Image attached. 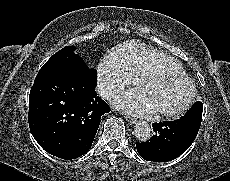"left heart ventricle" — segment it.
Here are the masks:
<instances>
[{"instance_id": "1", "label": "left heart ventricle", "mask_w": 230, "mask_h": 181, "mask_svg": "<svg viewBox=\"0 0 230 181\" xmlns=\"http://www.w3.org/2000/svg\"><path fill=\"white\" fill-rule=\"evenodd\" d=\"M190 86L187 81L175 78H158L149 82L143 94L155 110H174L187 99Z\"/></svg>"}]
</instances>
